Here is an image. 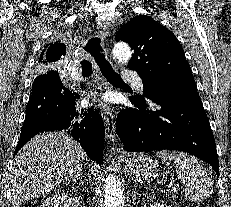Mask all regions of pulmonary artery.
<instances>
[{
	"instance_id": "obj_1",
	"label": "pulmonary artery",
	"mask_w": 231,
	"mask_h": 207,
	"mask_svg": "<svg viewBox=\"0 0 231 207\" xmlns=\"http://www.w3.org/2000/svg\"><path fill=\"white\" fill-rule=\"evenodd\" d=\"M69 76L72 77L73 79H77L79 77L75 72H71V71L69 72ZM122 77L125 80L130 81L135 88L137 89L143 88V80L136 72L130 70H124L122 72Z\"/></svg>"
}]
</instances>
